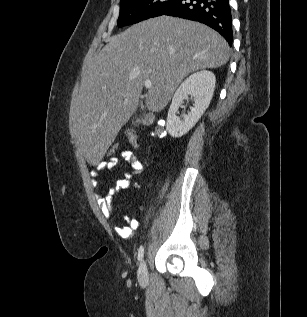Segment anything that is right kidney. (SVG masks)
Returning <instances> with one entry per match:
<instances>
[{
    "instance_id": "ca27d5eb",
    "label": "right kidney",
    "mask_w": 307,
    "mask_h": 317,
    "mask_svg": "<svg viewBox=\"0 0 307 317\" xmlns=\"http://www.w3.org/2000/svg\"><path fill=\"white\" fill-rule=\"evenodd\" d=\"M215 82V75L203 70L190 75L178 87L172 98L166 122V130L172 137H182L198 122L211 102ZM189 95L193 97V107L184 115L183 120H180L177 116L178 109Z\"/></svg>"
}]
</instances>
